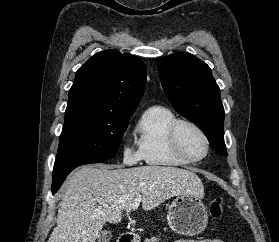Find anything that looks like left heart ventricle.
<instances>
[{"label": "left heart ventricle", "mask_w": 279, "mask_h": 242, "mask_svg": "<svg viewBox=\"0 0 279 242\" xmlns=\"http://www.w3.org/2000/svg\"><path fill=\"white\" fill-rule=\"evenodd\" d=\"M180 142L183 150L189 156L198 158L205 152V143L202 137L192 128L184 126L180 130Z\"/></svg>", "instance_id": "left-heart-ventricle-1"}]
</instances>
